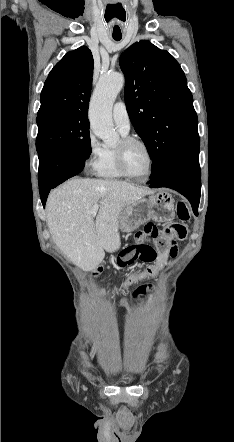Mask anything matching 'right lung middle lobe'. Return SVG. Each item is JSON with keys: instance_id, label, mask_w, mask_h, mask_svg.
<instances>
[{"instance_id": "dd1d6c3e", "label": "right lung middle lobe", "mask_w": 234, "mask_h": 442, "mask_svg": "<svg viewBox=\"0 0 234 442\" xmlns=\"http://www.w3.org/2000/svg\"><path fill=\"white\" fill-rule=\"evenodd\" d=\"M38 154L45 150H72L86 160L91 154L89 121L87 114L56 113L36 119Z\"/></svg>"}]
</instances>
